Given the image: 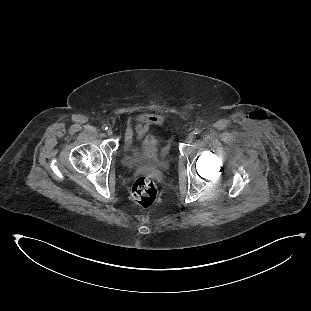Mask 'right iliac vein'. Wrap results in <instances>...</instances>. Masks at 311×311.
<instances>
[{
	"mask_svg": "<svg viewBox=\"0 0 311 311\" xmlns=\"http://www.w3.org/2000/svg\"><path fill=\"white\" fill-rule=\"evenodd\" d=\"M107 134H108V135H112V134H113V130H112L111 128H109V129L107 130Z\"/></svg>",
	"mask_w": 311,
	"mask_h": 311,
	"instance_id": "right-iliac-vein-1",
	"label": "right iliac vein"
}]
</instances>
